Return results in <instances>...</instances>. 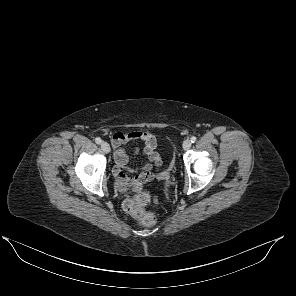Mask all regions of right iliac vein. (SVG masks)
<instances>
[{
	"instance_id": "63e3f726",
	"label": "right iliac vein",
	"mask_w": 296,
	"mask_h": 296,
	"mask_svg": "<svg viewBox=\"0 0 296 296\" xmlns=\"http://www.w3.org/2000/svg\"><path fill=\"white\" fill-rule=\"evenodd\" d=\"M101 148L105 153L110 152V145L107 142H102L101 143Z\"/></svg>"
}]
</instances>
